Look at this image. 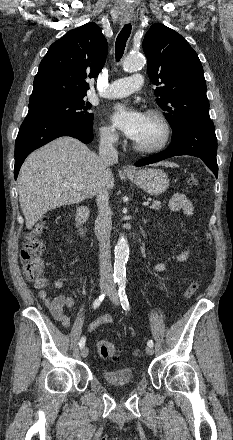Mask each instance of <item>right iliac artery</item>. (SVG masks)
<instances>
[{"mask_svg": "<svg viewBox=\"0 0 233 440\" xmlns=\"http://www.w3.org/2000/svg\"><path fill=\"white\" fill-rule=\"evenodd\" d=\"M117 281L116 280H114V283H116ZM104 297H105V294H101L94 302H93V308L94 309H96L97 307H99L100 306V304L102 303V301H103V299H104ZM85 337H82L81 339H80V342H79V347H80V349H82L84 346H85Z\"/></svg>", "mask_w": 233, "mask_h": 440, "instance_id": "1", "label": "right iliac artery"}]
</instances>
